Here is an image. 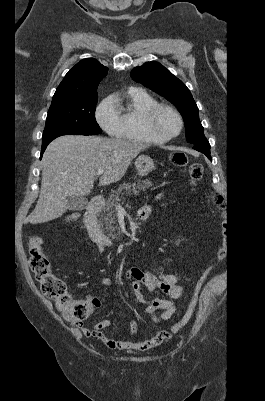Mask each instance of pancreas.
<instances>
[{
  "label": "pancreas",
  "mask_w": 265,
  "mask_h": 401,
  "mask_svg": "<svg viewBox=\"0 0 265 401\" xmlns=\"http://www.w3.org/2000/svg\"><path fill=\"white\" fill-rule=\"evenodd\" d=\"M148 186H152V182L146 178V180H138V182H123V184H119L116 190H112L113 194H110L105 201V207H103L99 217L100 221H105L103 225L107 231H110L109 237L111 239H119L118 235L121 233L120 227L116 223L115 213H117V207L120 205L119 201H124L125 192L126 194H138L139 190H146Z\"/></svg>",
  "instance_id": "1"
}]
</instances>
